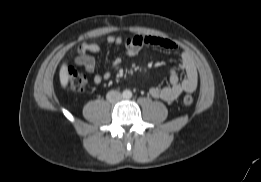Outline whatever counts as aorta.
Instances as JSON below:
<instances>
[{
	"instance_id": "1",
	"label": "aorta",
	"mask_w": 261,
	"mask_h": 182,
	"mask_svg": "<svg viewBox=\"0 0 261 182\" xmlns=\"http://www.w3.org/2000/svg\"><path fill=\"white\" fill-rule=\"evenodd\" d=\"M122 95H123V98L129 99L132 97V92L129 90H125Z\"/></svg>"
}]
</instances>
